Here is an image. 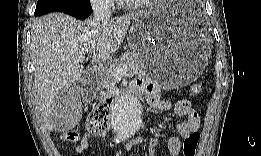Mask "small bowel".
<instances>
[{"instance_id":"obj_1","label":"small bowel","mask_w":261,"mask_h":156,"mask_svg":"<svg viewBox=\"0 0 261 156\" xmlns=\"http://www.w3.org/2000/svg\"><path fill=\"white\" fill-rule=\"evenodd\" d=\"M133 88L137 93L143 94L148 103L160 111L173 110L179 117H187L184 122H179L174 127V135H172L167 142L169 154L171 156H178L181 151V139L188 138L191 134L198 132L200 127V116L197 110L192 106V103L188 99H182L176 103H172L169 100L161 99L157 87L152 83H147L143 80H135L133 82ZM91 135L84 133L81 137L79 145L75 149V156H82L83 153L90 146ZM142 139L135 140L133 144H141ZM158 144L157 138H152L149 142V155H156V147Z\"/></svg>"}]
</instances>
